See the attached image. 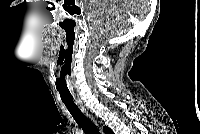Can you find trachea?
<instances>
[{
    "mask_svg": "<svg viewBox=\"0 0 200 134\" xmlns=\"http://www.w3.org/2000/svg\"><path fill=\"white\" fill-rule=\"evenodd\" d=\"M69 112L77 122V124L83 129L85 134H100L98 128L91 122L83 113L78 109L73 101H63Z\"/></svg>",
    "mask_w": 200,
    "mask_h": 134,
    "instance_id": "3493384b",
    "label": "trachea"
}]
</instances>
